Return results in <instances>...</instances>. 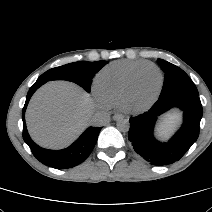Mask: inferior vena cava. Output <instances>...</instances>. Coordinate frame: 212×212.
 Here are the masks:
<instances>
[{"label":"inferior vena cava","mask_w":212,"mask_h":212,"mask_svg":"<svg viewBox=\"0 0 212 212\" xmlns=\"http://www.w3.org/2000/svg\"><path fill=\"white\" fill-rule=\"evenodd\" d=\"M109 119L110 117L107 113L98 112L92 116L90 122L94 126H103L108 122Z\"/></svg>","instance_id":"inferior-vena-cava-1"}]
</instances>
